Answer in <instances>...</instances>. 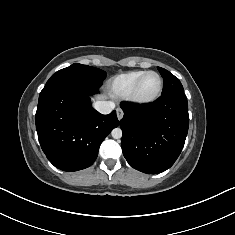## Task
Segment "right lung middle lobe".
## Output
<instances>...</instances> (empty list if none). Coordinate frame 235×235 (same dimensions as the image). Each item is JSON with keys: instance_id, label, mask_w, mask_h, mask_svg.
Listing matches in <instances>:
<instances>
[{"instance_id": "1", "label": "right lung middle lobe", "mask_w": 235, "mask_h": 235, "mask_svg": "<svg viewBox=\"0 0 235 235\" xmlns=\"http://www.w3.org/2000/svg\"><path fill=\"white\" fill-rule=\"evenodd\" d=\"M105 76L106 72L101 69L75 63L53 74L46 85L60 81H77L98 89Z\"/></svg>"}]
</instances>
